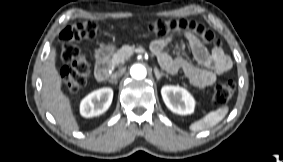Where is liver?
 I'll list each match as a JSON object with an SVG mask.
<instances>
[{
	"label": "liver",
	"instance_id": "1",
	"mask_svg": "<svg viewBox=\"0 0 283 162\" xmlns=\"http://www.w3.org/2000/svg\"><path fill=\"white\" fill-rule=\"evenodd\" d=\"M56 51L52 48L43 69V100L57 123L68 131H76L79 125L73 115L71 101L63 93L62 79L55 66Z\"/></svg>",
	"mask_w": 283,
	"mask_h": 162
}]
</instances>
